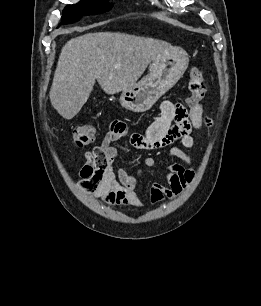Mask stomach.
<instances>
[{
  "label": "stomach",
  "mask_w": 261,
  "mask_h": 306,
  "mask_svg": "<svg viewBox=\"0 0 261 306\" xmlns=\"http://www.w3.org/2000/svg\"><path fill=\"white\" fill-rule=\"evenodd\" d=\"M189 56L180 47H172L159 54L150 66V73L133 86L122 90L121 105L133 112H145L171 89L182 77Z\"/></svg>",
  "instance_id": "stomach-1"
}]
</instances>
